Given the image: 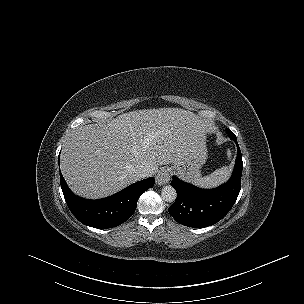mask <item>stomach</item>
Returning <instances> with one entry per match:
<instances>
[{
  "label": "stomach",
  "instance_id": "stomach-1",
  "mask_svg": "<svg viewBox=\"0 0 304 304\" xmlns=\"http://www.w3.org/2000/svg\"><path fill=\"white\" fill-rule=\"evenodd\" d=\"M205 161L206 149H196L189 152L180 163L173 164L172 172L184 181L197 183Z\"/></svg>",
  "mask_w": 304,
  "mask_h": 304
}]
</instances>
